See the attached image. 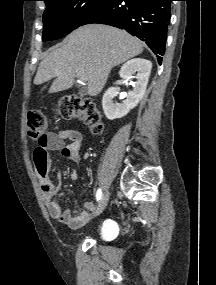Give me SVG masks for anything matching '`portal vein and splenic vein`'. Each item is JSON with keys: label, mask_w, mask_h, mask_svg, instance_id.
Segmentation results:
<instances>
[{"label": "portal vein and splenic vein", "mask_w": 216, "mask_h": 285, "mask_svg": "<svg viewBox=\"0 0 216 285\" xmlns=\"http://www.w3.org/2000/svg\"><path fill=\"white\" fill-rule=\"evenodd\" d=\"M77 77L80 79V81H86V75L77 73Z\"/></svg>", "instance_id": "portal-vein-and-splenic-vein-1"}]
</instances>
